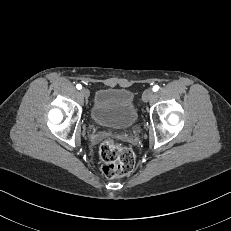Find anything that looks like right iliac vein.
<instances>
[{
	"instance_id": "1",
	"label": "right iliac vein",
	"mask_w": 231,
	"mask_h": 231,
	"mask_svg": "<svg viewBox=\"0 0 231 231\" xmlns=\"http://www.w3.org/2000/svg\"><path fill=\"white\" fill-rule=\"evenodd\" d=\"M80 93H81V95H82L83 97H85V98H88L89 95H90L89 90L86 89V88L81 89Z\"/></svg>"
}]
</instances>
